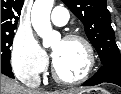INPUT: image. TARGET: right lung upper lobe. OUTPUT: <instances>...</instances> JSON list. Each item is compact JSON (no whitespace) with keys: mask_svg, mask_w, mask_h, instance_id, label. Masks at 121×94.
<instances>
[{"mask_svg":"<svg viewBox=\"0 0 121 94\" xmlns=\"http://www.w3.org/2000/svg\"><path fill=\"white\" fill-rule=\"evenodd\" d=\"M24 0H1V32L14 31Z\"/></svg>","mask_w":121,"mask_h":94,"instance_id":"right-lung-upper-lobe-1","label":"right lung upper lobe"}]
</instances>
